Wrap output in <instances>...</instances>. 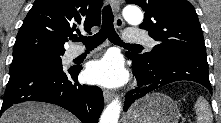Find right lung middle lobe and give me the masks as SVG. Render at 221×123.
<instances>
[{
	"instance_id": "right-lung-middle-lobe-1",
	"label": "right lung middle lobe",
	"mask_w": 221,
	"mask_h": 123,
	"mask_svg": "<svg viewBox=\"0 0 221 123\" xmlns=\"http://www.w3.org/2000/svg\"><path fill=\"white\" fill-rule=\"evenodd\" d=\"M63 54V52H27L13 54L10 71L40 65L62 66L60 57Z\"/></svg>"
}]
</instances>
